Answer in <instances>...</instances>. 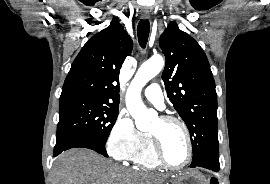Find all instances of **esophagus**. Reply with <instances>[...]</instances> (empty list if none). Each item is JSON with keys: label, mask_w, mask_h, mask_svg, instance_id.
<instances>
[{"label": "esophagus", "mask_w": 270, "mask_h": 184, "mask_svg": "<svg viewBox=\"0 0 270 184\" xmlns=\"http://www.w3.org/2000/svg\"><path fill=\"white\" fill-rule=\"evenodd\" d=\"M140 14L142 19H148L150 16L149 10L147 9H142Z\"/></svg>", "instance_id": "34e87169"}]
</instances>
